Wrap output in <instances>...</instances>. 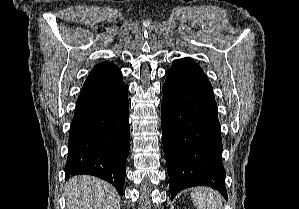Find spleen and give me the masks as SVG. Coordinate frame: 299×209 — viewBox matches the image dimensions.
Masks as SVG:
<instances>
[{
  "label": "spleen",
  "instance_id": "1",
  "mask_svg": "<svg viewBox=\"0 0 299 209\" xmlns=\"http://www.w3.org/2000/svg\"><path fill=\"white\" fill-rule=\"evenodd\" d=\"M191 198L197 209H223L221 195L212 188H195Z\"/></svg>",
  "mask_w": 299,
  "mask_h": 209
}]
</instances>
